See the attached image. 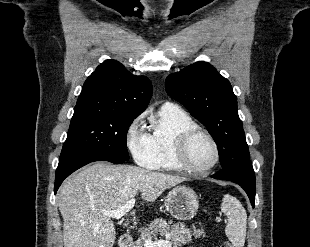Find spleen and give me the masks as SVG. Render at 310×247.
<instances>
[{
    "mask_svg": "<svg viewBox=\"0 0 310 247\" xmlns=\"http://www.w3.org/2000/svg\"><path fill=\"white\" fill-rule=\"evenodd\" d=\"M221 210L227 215L228 223L225 228V233L234 247H244L247 214L240 201L226 194L222 199Z\"/></svg>",
    "mask_w": 310,
    "mask_h": 247,
    "instance_id": "3e777b00",
    "label": "spleen"
}]
</instances>
